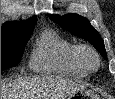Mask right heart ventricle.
<instances>
[{"label": "right heart ventricle", "instance_id": "right-heart-ventricle-1", "mask_svg": "<svg viewBox=\"0 0 115 99\" xmlns=\"http://www.w3.org/2000/svg\"><path fill=\"white\" fill-rule=\"evenodd\" d=\"M76 49L77 45L56 31L46 30L34 45L29 67L37 73L84 78L88 72L79 64Z\"/></svg>", "mask_w": 115, "mask_h": 99}]
</instances>
